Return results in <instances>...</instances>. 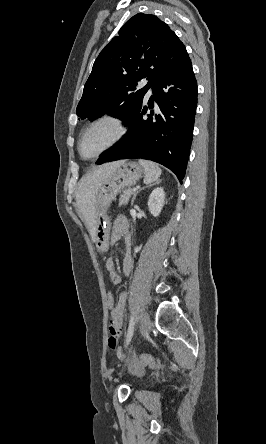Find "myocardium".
<instances>
[{
  "mask_svg": "<svg viewBox=\"0 0 266 444\" xmlns=\"http://www.w3.org/2000/svg\"><path fill=\"white\" fill-rule=\"evenodd\" d=\"M102 123L110 124L114 128L115 133H114V136L111 139V141L103 149H101L100 151H98L96 154H94L92 156H98V155L104 154L107 151L111 150L117 144H119L121 142V140L124 138L125 134L127 133V126H126L124 120L117 115L104 114V115H101V116L93 119L82 130V132L80 133L79 138H78L77 149H78L79 154L82 157H86V155L83 153V150H82V141H83L85 134L88 131H90L91 129H93L95 126L102 124Z\"/></svg>",
  "mask_w": 266,
  "mask_h": 444,
  "instance_id": "obj_1",
  "label": "myocardium"
}]
</instances>
